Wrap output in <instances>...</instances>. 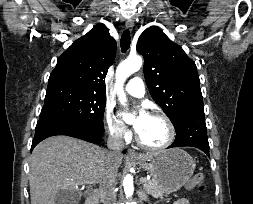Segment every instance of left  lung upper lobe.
I'll return each instance as SVG.
<instances>
[{"instance_id":"1","label":"left lung upper lobe","mask_w":253,"mask_h":204,"mask_svg":"<svg viewBox=\"0 0 253 204\" xmlns=\"http://www.w3.org/2000/svg\"><path fill=\"white\" fill-rule=\"evenodd\" d=\"M149 92L176 128L185 117L204 111L195 63L161 29L152 26L139 37Z\"/></svg>"}]
</instances>
